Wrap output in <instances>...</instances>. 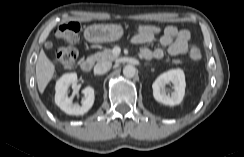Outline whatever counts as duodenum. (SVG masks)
<instances>
[{
	"label": "duodenum",
	"instance_id": "1",
	"mask_svg": "<svg viewBox=\"0 0 244 157\" xmlns=\"http://www.w3.org/2000/svg\"><path fill=\"white\" fill-rule=\"evenodd\" d=\"M93 64H94V60L92 58L83 59L80 63V69L83 72L88 73L91 71Z\"/></svg>",
	"mask_w": 244,
	"mask_h": 157
}]
</instances>
